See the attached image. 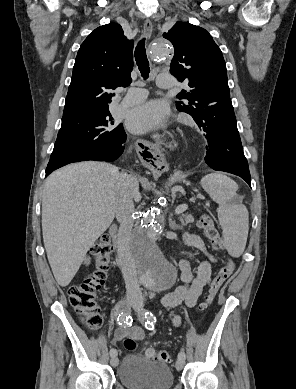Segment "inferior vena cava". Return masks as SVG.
<instances>
[{"label":"inferior vena cava","instance_id":"602c4592","mask_svg":"<svg viewBox=\"0 0 296 389\" xmlns=\"http://www.w3.org/2000/svg\"><path fill=\"white\" fill-rule=\"evenodd\" d=\"M133 181L134 177L126 173H119L116 184V218L120 223L119 244L125 250V254L119 255L122 273L125 279L127 298L133 302L142 301V292L137 279L134 260L129 253L130 239L134 225L133 204Z\"/></svg>","mask_w":296,"mask_h":389}]
</instances>
